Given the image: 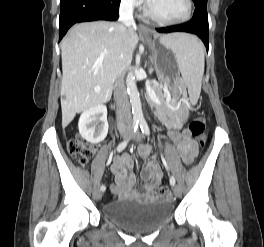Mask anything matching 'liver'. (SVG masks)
<instances>
[{"label": "liver", "instance_id": "obj_1", "mask_svg": "<svg viewBox=\"0 0 264 247\" xmlns=\"http://www.w3.org/2000/svg\"><path fill=\"white\" fill-rule=\"evenodd\" d=\"M137 43L136 28L119 23L85 22L69 30L61 42L63 128L76 113L110 100L113 84L130 66Z\"/></svg>", "mask_w": 264, "mask_h": 247}]
</instances>
